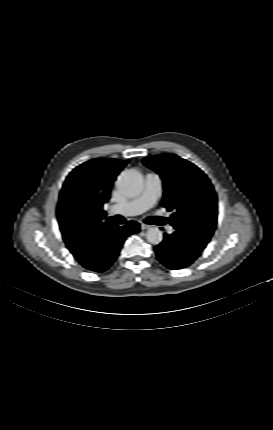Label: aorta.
<instances>
[{
  "instance_id": "obj_1",
  "label": "aorta",
  "mask_w": 273,
  "mask_h": 430,
  "mask_svg": "<svg viewBox=\"0 0 273 430\" xmlns=\"http://www.w3.org/2000/svg\"><path fill=\"white\" fill-rule=\"evenodd\" d=\"M116 184L124 194L135 196L142 189L143 175L135 169H128L119 175ZM146 238L149 243L158 245L163 240V234L159 228L152 227L147 231Z\"/></svg>"
}]
</instances>
